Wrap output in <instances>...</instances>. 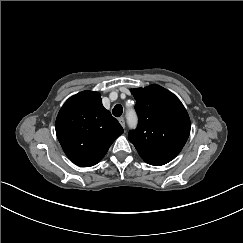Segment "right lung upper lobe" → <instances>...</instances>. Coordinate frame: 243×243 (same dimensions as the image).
<instances>
[{
    "instance_id": "1",
    "label": "right lung upper lobe",
    "mask_w": 243,
    "mask_h": 243,
    "mask_svg": "<svg viewBox=\"0 0 243 243\" xmlns=\"http://www.w3.org/2000/svg\"><path fill=\"white\" fill-rule=\"evenodd\" d=\"M57 138L76 165L97 164L123 133L119 122L102 105L100 94L83 91L62 106L55 123Z\"/></svg>"
}]
</instances>
